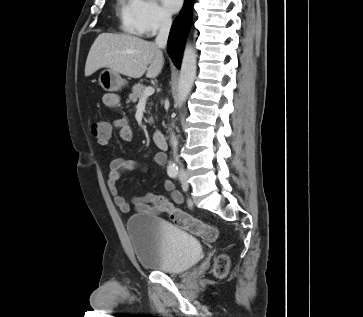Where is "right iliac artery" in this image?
Returning <instances> with one entry per match:
<instances>
[{"mask_svg": "<svg viewBox=\"0 0 363 317\" xmlns=\"http://www.w3.org/2000/svg\"><path fill=\"white\" fill-rule=\"evenodd\" d=\"M177 173H178V172H177L176 170H173V171H169V172H168V175H169L170 177L174 178V177H176Z\"/></svg>", "mask_w": 363, "mask_h": 317, "instance_id": "82829eb1", "label": "right iliac artery"}]
</instances>
